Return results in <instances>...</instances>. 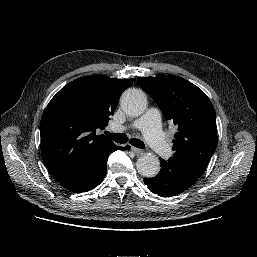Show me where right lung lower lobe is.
Masks as SVG:
<instances>
[{
  "instance_id": "1",
  "label": "right lung lower lobe",
  "mask_w": 257,
  "mask_h": 257,
  "mask_svg": "<svg viewBox=\"0 0 257 257\" xmlns=\"http://www.w3.org/2000/svg\"><path fill=\"white\" fill-rule=\"evenodd\" d=\"M129 146L113 147L69 175L58 180L65 188L73 192H87L102 183L106 175L108 156L115 150H126Z\"/></svg>"
}]
</instances>
